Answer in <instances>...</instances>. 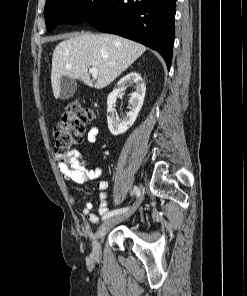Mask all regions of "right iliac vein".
<instances>
[{
    "label": "right iliac vein",
    "mask_w": 247,
    "mask_h": 296,
    "mask_svg": "<svg viewBox=\"0 0 247 296\" xmlns=\"http://www.w3.org/2000/svg\"><path fill=\"white\" fill-rule=\"evenodd\" d=\"M141 201H142V196H140V198L136 201V203L130 209H128L126 212L121 213L117 216L111 217L102 223V225L98 228V230L94 236V240H93V244H92L93 257L97 258L101 254L99 240L106 235V233L111 229V227L113 225H115L116 223H119V222L127 219L129 216H131L135 212V210L137 209V207L139 206Z\"/></svg>",
    "instance_id": "obj_1"
}]
</instances>
